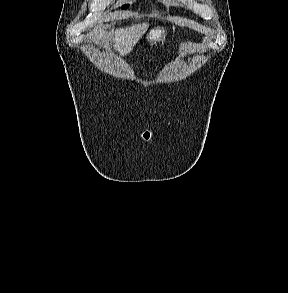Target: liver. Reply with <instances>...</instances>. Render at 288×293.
Segmentation results:
<instances>
[{"label":"liver","mask_w":288,"mask_h":293,"mask_svg":"<svg viewBox=\"0 0 288 293\" xmlns=\"http://www.w3.org/2000/svg\"><path fill=\"white\" fill-rule=\"evenodd\" d=\"M149 27L148 23L132 24L130 27L112 29L109 32L110 40L114 43V49L121 55H127L133 47L138 43L139 39L147 31Z\"/></svg>","instance_id":"1"}]
</instances>
